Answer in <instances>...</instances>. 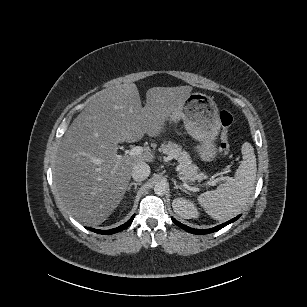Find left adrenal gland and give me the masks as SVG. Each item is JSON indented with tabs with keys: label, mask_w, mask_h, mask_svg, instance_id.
Masks as SVG:
<instances>
[{
	"label": "left adrenal gland",
	"mask_w": 307,
	"mask_h": 307,
	"mask_svg": "<svg viewBox=\"0 0 307 307\" xmlns=\"http://www.w3.org/2000/svg\"><path fill=\"white\" fill-rule=\"evenodd\" d=\"M172 181H173V183H174V189H180V190H182L183 192H186V190L183 189L182 186H180V185L177 184V181H176V180L172 179Z\"/></svg>",
	"instance_id": "1"
}]
</instances>
